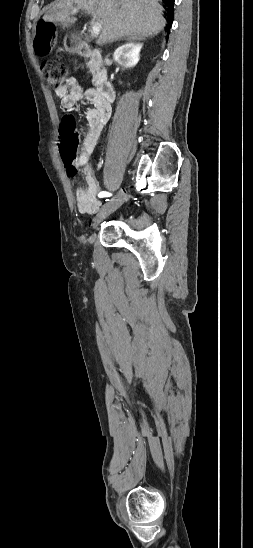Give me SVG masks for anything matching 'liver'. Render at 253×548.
Listing matches in <instances>:
<instances>
[{
	"label": "liver",
	"mask_w": 253,
	"mask_h": 548,
	"mask_svg": "<svg viewBox=\"0 0 253 548\" xmlns=\"http://www.w3.org/2000/svg\"><path fill=\"white\" fill-rule=\"evenodd\" d=\"M73 9L100 19L101 33L96 41L100 46L123 37L132 40L152 37L166 25L157 0H59L49 7L43 21L69 27L77 21L72 16Z\"/></svg>",
	"instance_id": "6515ba94"
}]
</instances>
